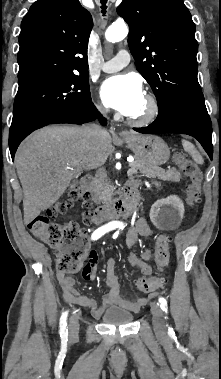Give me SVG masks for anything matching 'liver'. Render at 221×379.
Listing matches in <instances>:
<instances>
[{
	"instance_id": "1",
	"label": "liver",
	"mask_w": 221,
	"mask_h": 379,
	"mask_svg": "<svg viewBox=\"0 0 221 379\" xmlns=\"http://www.w3.org/2000/svg\"><path fill=\"white\" fill-rule=\"evenodd\" d=\"M86 127L48 126L19 146L15 165L24 198V223L51 207L72 179L87 168L102 166L112 150L108 132L92 137Z\"/></svg>"
}]
</instances>
